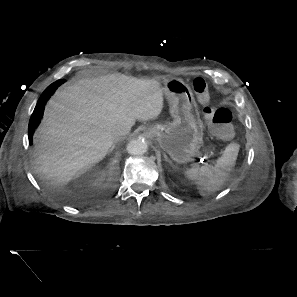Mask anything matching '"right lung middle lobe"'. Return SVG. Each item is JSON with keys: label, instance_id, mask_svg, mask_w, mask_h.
I'll use <instances>...</instances> for the list:
<instances>
[{"label": "right lung middle lobe", "instance_id": "dd1d6c3e", "mask_svg": "<svg viewBox=\"0 0 297 297\" xmlns=\"http://www.w3.org/2000/svg\"><path fill=\"white\" fill-rule=\"evenodd\" d=\"M62 83H64V80H58L52 83L49 87H47L45 91L53 93L57 89V87L60 86Z\"/></svg>", "mask_w": 297, "mask_h": 297}]
</instances>
